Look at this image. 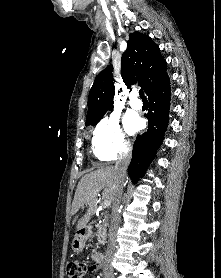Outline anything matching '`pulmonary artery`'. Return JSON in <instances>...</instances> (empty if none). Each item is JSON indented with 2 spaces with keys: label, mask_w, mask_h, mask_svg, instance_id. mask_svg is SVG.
Instances as JSON below:
<instances>
[{
  "label": "pulmonary artery",
  "mask_w": 221,
  "mask_h": 278,
  "mask_svg": "<svg viewBox=\"0 0 221 278\" xmlns=\"http://www.w3.org/2000/svg\"><path fill=\"white\" fill-rule=\"evenodd\" d=\"M129 104L135 110H140L142 108V102L138 99V93L136 91L130 94Z\"/></svg>",
  "instance_id": "1"
}]
</instances>
